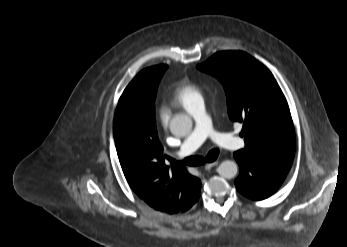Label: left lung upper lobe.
I'll list each match as a JSON object with an SVG mask.
<instances>
[{
	"instance_id": "left-lung-upper-lobe-1",
	"label": "left lung upper lobe",
	"mask_w": 347,
	"mask_h": 247,
	"mask_svg": "<svg viewBox=\"0 0 347 247\" xmlns=\"http://www.w3.org/2000/svg\"><path fill=\"white\" fill-rule=\"evenodd\" d=\"M197 68L221 81L230 119L243 123L245 148L237 152L293 161L295 136L289 106L263 64L242 51H223Z\"/></svg>"
}]
</instances>
